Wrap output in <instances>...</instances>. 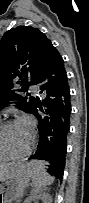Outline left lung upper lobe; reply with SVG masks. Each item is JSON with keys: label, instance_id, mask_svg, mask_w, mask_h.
<instances>
[{"label": "left lung upper lobe", "instance_id": "5c2ea615", "mask_svg": "<svg viewBox=\"0 0 89 203\" xmlns=\"http://www.w3.org/2000/svg\"><path fill=\"white\" fill-rule=\"evenodd\" d=\"M50 45V40L40 30L29 26H19L4 34L0 41L1 102L19 99L21 103L17 107L31 112L35 98L28 100L11 89L14 82H21L22 89L17 91L27 92L43 66L45 52Z\"/></svg>", "mask_w": 89, "mask_h": 203}]
</instances>
